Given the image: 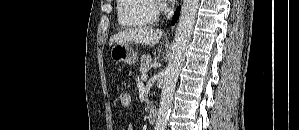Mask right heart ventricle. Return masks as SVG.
<instances>
[{
  "mask_svg": "<svg viewBox=\"0 0 299 130\" xmlns=\"http://www.w3.org/2000/svg\"><path fill=\"white\" fill-rule=\"evenodd\" d=\"M117 16L122 27L143 28L157 21L153 0H119L117 1Z\"/></svg>",
  "mask_w": 299,
  "mask_h": 130,
  "instance_id": "1",
  "label": "right heart ventricle"
}]
</instances>
